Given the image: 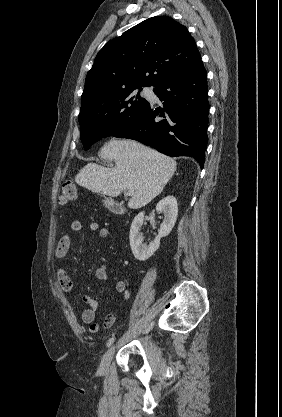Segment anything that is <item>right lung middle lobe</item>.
<instances>
[{"mask_svg":"<svg viewBox=\"0 0 282 417\" xmlns=\"http://www.w3.org/2000/svg\"><path fill=\"white\" fill-rule=\"evenodd\" d=\"M141 90L137 87L101 93L81 101L80 138L85 150L103 137L124 129L137 118L149 105L140 96Z\"/></svg>","mask_w":282,"mask_h":417,"instance_id":"right-lung-middle-lobe-1","label":"right lung middle lobe"}]
</instances>
